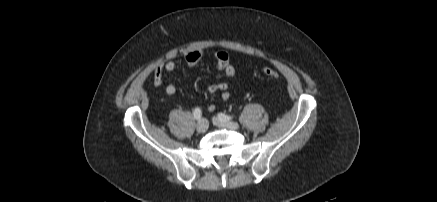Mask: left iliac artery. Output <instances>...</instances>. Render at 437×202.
Wrapping results in <instances>:
<instances>
[{
    "mask_svg": "<svg viewBox=\"0 0 437 202\" xmlns=\"http://www.w3.org/2000/svg\"><path fill=\"white\" fill-rule=\"evenodd\" d=\"M218 117L221 119V120H225V121H229V120H231L233 117L232 116H230V115H226V114H223V113H219L218 114Z\"/></svg>",
    "mask_w": 437,
    "mask_h": 202,
    "instance_id": "left-iliac-artery-1",
    "label": "left iliac artery"
}]
</instances>
